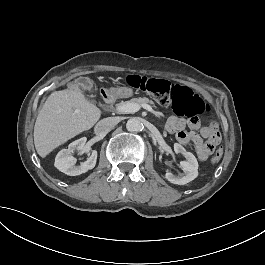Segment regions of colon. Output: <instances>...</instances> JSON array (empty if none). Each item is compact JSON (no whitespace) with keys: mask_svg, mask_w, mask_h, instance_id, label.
<instances>
[{"mask_svg":"<svg viewBox=\"0 0 265 265\" xmlns=\"http://www.w3.org/2000/svg\"><path fill=\"white\" fill-rule=\"evenodd\" d=\"M128 81L133 89L151 96L161 105L170 107L176 116L193 118L209 112L205 101L187 86L139 75L128 76ZM222 155V148L216 149L211 157L212 162H219Z\"/></svg>","mask_w":265,"mask_h":265,"instance_id":"colon-1","label":"colon"}]
</instances>
